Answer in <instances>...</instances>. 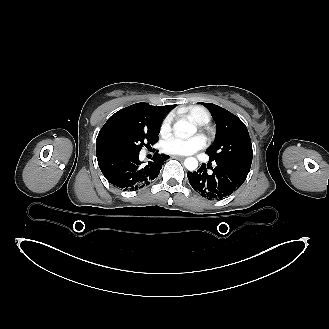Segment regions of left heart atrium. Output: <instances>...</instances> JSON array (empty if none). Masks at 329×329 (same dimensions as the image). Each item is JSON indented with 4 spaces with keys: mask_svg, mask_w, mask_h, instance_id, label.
Segmentation results:
<instances>
[{
    "mask_svg": "<svg viewBox=\"0 0 329 329\" xmlns=\"http://www.w3.org/2000/svg\"><path fill=\"white\" fill-rule=\"evenodd\" d=\"M206 146L203 136L195 135L191 138L170 137L163 143L165 152L176 155L193 154Z\"/></svg>",
    "mask_w": 329,
    "mask_h": 329,
    "instance_id": "left-heart-atrium-1",
    "label": "left heart atrium"
}]
</instances>
